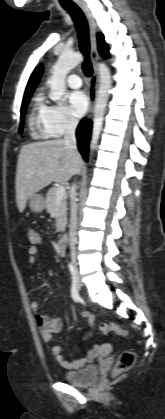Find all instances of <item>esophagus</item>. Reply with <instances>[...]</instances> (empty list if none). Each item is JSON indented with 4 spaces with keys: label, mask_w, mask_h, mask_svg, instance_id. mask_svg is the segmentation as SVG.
Here are the masks:
<instances>
[{
    "label": "esophagus",
    "mask_w": 165,
    "mask_h": 419,
    "mask_svg": "<svg viewBox=\"0 0 165 419\" xmlns=\"http://www.w3.org/2000/svg\"><path fill=\"white\" fill-rule=\"evenodd\" d=\"M79 6L84 12L88 21V25H89L90 54H91L92 69H93V74H92L90 85H89V109L87 113V118H90L92 116L94 103H95L96 95H97L98 83H99L97 62L100 56L97 49V39H96L97 24L91 12L89 11V9L82 4H80Z\"/></svg>",
    "instance_id": "esophagus-1"
}]
</instances>
